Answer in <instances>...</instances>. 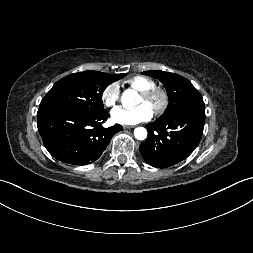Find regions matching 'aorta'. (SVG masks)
Returning a JSON list of instances; mask_svg holds the SVG:
<instances>
[{"label": "aorta", "mask_w": 253, "mask_h": 253, "mask_svg": "<svg viewBox=\"0 0 253 253\" xmlns=\"http://www.w3.org/2000/svg\"><path fill=\"white\" fill-rule=\"evenodd\" d=\"M138 93L135 90L127 89L123 92L121 97L122 105L125 108H131L137 101ZM134 136L138 140H144L147 137V130L144 127H138L134 130Z\"/></svg>", "instance_id": "762f6f07"}]
</instances>
